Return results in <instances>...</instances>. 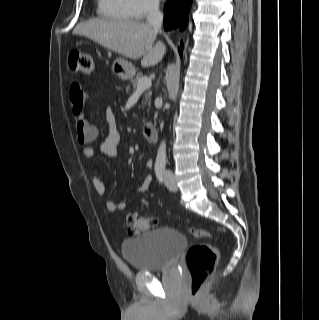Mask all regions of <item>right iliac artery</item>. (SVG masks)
Returning a JSON list of instances; mask_svg holds the SVG:
<instances>
[{"label":"right iliac artery","mask_w":319,"mask_h":320,"mask_svg":"<svg viewBox=\"0 0 319 320\" xmlns=\"http://www.w3.org/2000/svg\"><path fill=\"white\" fill-rule=\"evenodd\" d=\"M156 176L160 182L163 181V173H164V168L163 167H157L155 168Z\"/></svg>","instance_id":"82829eb1"}]
</instances>
